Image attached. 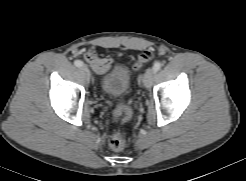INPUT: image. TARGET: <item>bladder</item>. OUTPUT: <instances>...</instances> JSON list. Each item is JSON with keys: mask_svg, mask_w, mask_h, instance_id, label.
Segmentation results:
<instances>
[{"mask_svg": "<svg viewBox=\"0 0 246 181\" xmlns=\"http://www.w3.org/2000/svg\"><path fill=\"white\" fill-rule=\"evenodd\" d=\"M132 84L131 73L122 64L112 67L102 78L101 88L104 94L118 98L129 92Z\"/></svg>", "mask_w": 246, "mask_h": 181, "instance_id": "obj_1", "label": "bladder"}]
</instances>
